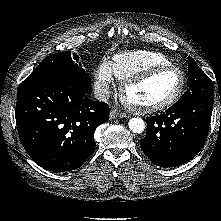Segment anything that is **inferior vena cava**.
<instances>
[{
  "mask_svg": "<svg viewBox=\"0 0 221 221\" xmlns=\"http://www.w3.org/2000/svg\"><path fill=\"white\" fill-rule=\"evenodd\" d=\"M110 96V89L107 84H103L102 86L95 88L94 97L98 101L106 102Z\"/></svg>",
  "mask_w": 221,
  "mask_h": 221,
  "instance_id": "obj_1",
  "label": "inferior vena cava"
}]
</instances>
